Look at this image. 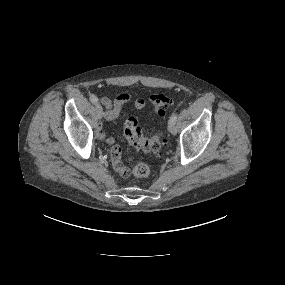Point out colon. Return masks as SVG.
Masks as SVG:
<instances>
[{"label":"colon","mask_w":285,"mask_h":285,"mask_svg":"<svg viewBox=\"0 0 285 285\" xmlns=\"http://www.w3.org/2000/svg\"><path fill=\"white\" fill-rule=\"evenodd\" d=\"M150 102L155 113L159 116H163L173 104L170 97L161 93L153 94L150 97ZM123 131L131 145L146 153L158 154L165 143L162 133L147 132L141 128L135 117H129L125 120ZM132 172L136 177H147L150 175V168L145 163H138Z\"/></svg>","instance_id":"5ec220e1"}]
</instances>
